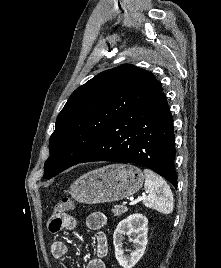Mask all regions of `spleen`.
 <instances>
[{
  "mask_svg": "<svg viewBox=\"0 0 221 268\" xmlns=\"http://www.w3.org/2000/svg\"><path fill=\"white\" fill-rule=\"evenodd\" d=\"M145 190L147 195L143 197V204L163 214H170L173 211V194L166 181L151 171L144 169Z\"/></svg>",
  "mask_w": 221,
  "mask_h": 268,
  "instance_id": "3e777b00",
  "label": "spleen"
}]
</instances>
